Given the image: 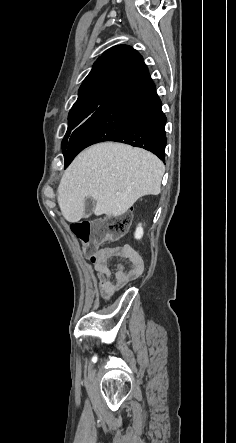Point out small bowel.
Listing matches in <instances>:
<instances>
[{
	"label": "small bowel",
	"mask_w": 236,
	"mask_h": 443,
	"mask_svg": "<svg viewBox=\"0 0 236 443\" xmlns=\"http://www.w3.org/2000/svg\"><path fill=\"white\" fill-rule=\"evenodd\" d=\"M113 260L118 263L115 268L111 267ZM93 265L97 272L101 293L106 298L120 292L127 284L137 279L144 270L143 258L127 245L102 247L94 257Z\"/></svg>",
	"instance_id": "c3829d8e"
}]
</instances>
